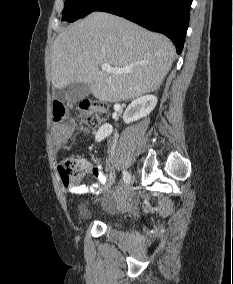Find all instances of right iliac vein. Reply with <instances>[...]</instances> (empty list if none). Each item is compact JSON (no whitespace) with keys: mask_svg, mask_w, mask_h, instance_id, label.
I'll return each mask as SVG.
<instances>
[{"mask_svg":"<svg viewBox=\"0 0 233 284\" xmlns=\"http://www.w3.org/2000/svg\"><path fill=\"white\" fill-rule=\"evenodd\" d=\"M134 180H136V175L134 172H131L128 178V183H126V187L124 188L125 192H128L129 188H133V185L135 184Z\"/></svg>","mask_w":233,"mask_h":284,"instance_id":"63e3f726","label":"right iliac vein"}]
</instances>
